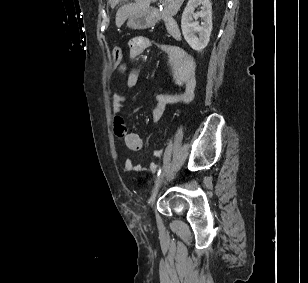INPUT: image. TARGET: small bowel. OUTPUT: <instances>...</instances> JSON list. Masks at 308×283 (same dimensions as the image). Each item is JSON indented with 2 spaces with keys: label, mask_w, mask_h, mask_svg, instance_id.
<instances>
[{
  "label": "small bowel",
  "mask_w": 308,
  "mask_h": 283,
  "mask_svg": "<svg viewBox=\"0 0 308 283\" xmlns=\"http://www.w3.org/2000/svg\"><path fill=\"white\" fill-rule=\"evenodd\" d=\"M152 45V42L146 37H135L129 42L130 57L139 58ZM162 50L165 52L171 67V77L173 83L180 88L176 92H164L155 95L156 104L152 111V120L157 122L166 112L171 104L187 103L192 100L195 89V66L191 57L180 47L174 45H163ZM126 66L119 65L116 68L112 81H116V74H125ZM139 81V72L130 71L126 77V85L129 88L137 86ZM125 96L121 93H115L112 96V112L114 114V133L122 138L126 147L134 152L143 148V139L140 135L128 129L124 117L122 116V107ZM156 157L162 156V150L154 152ZM157 164L151 162L148 168H143L136 164L132 159H127L125 168L128 171L155 170Z\"/></svg>",
  "instance_id": "c3829d8e"
}]
</instances>
